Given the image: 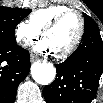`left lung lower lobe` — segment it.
Segmentation results:
<instances>
[{
    "mask_svg": "<svg viewBox=\"0 0 103 103\" xmlns=\"http://www.w3.org/2000/svg\"><path fill=\"white\" fill-rule=\"evenodd\" d=\"M55 66L56 79L43 90L46 102L90 103L103 74V41L98 26L85 30L79 47Z\"/></svg>",
    "mask_w": 103,
    "mask_h": 103,
    "instance_id": "0a47b994",
    "label": "left lung lower lobe"
}]
</instances>
